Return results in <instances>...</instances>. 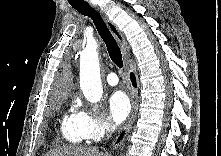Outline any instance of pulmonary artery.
<instances>
[{"mask_svg":"<svg viewBox=\"0 0 221 156\" xmlns=\"http://www.w3.org/2000/svg\"><path fill=\"white\" fill-rule=\"evenodd\" d=\"M106 81L109 85L115 86L118 83V76L114 72H111L107 75Z\"/></svg>","mask_w":221,"mask_h":156,"instance_id":"obj_1","label":"pulmonary artery"}]
</instances>
